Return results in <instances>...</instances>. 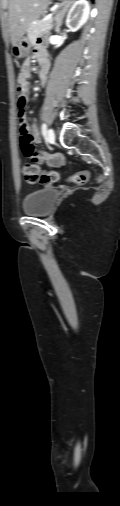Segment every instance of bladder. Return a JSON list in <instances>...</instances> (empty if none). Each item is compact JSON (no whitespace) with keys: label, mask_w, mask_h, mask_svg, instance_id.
I'll return each instance as SVG.
<instances>
[{"label":"bladder","mask_w":120,"mask_h":506,"mask_svg":"<svg viewBox=\"0 0 120 506\" xmlns=\"http://www.w3.org/2000/svg\"><path fill=\"white\" fill-rule=\"evenodd\" d=\"M58 191L53 187H45L28 193L22 202V210L27 215L44 216L50 213Z\"/></svg>","instance_id":"31cf9c89"}]
</instances>
